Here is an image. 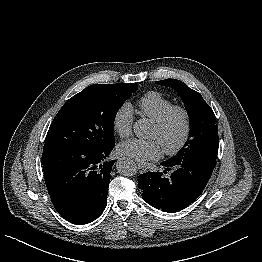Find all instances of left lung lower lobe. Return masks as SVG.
Segmentation results:
<instances>
[{"mask_svg": "<svg viewBox=\"0 0 262 262\" xmlns=\"http://www.w3.org/2000/svg\"><path fill=\"white\" fill-rule=\"evenodd\" d=\"M216 160L179 159L161 163L171 176L162 172H146L138 177L143 199L154 208L174 213L189 206L203 192L210 179Z\"/></svg>", "mask_w": 262, "mask_h": 262, "instance_id": "obj_1", "label": "left lung lower lobe"}]
</instances>
